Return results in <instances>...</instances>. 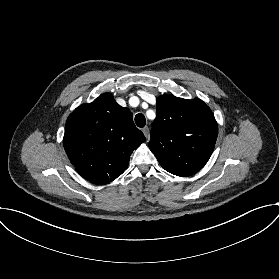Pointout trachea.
<instances>
[{
  "label": "trachea",
  "instance_id": "trachea-1",
  "mask_svg": "<svg viewBox=\"0 0 279 279\" xmlns=\"http://www.w3.org/2000/svg\"><path fill=\"white\" fill-rule=\"evenodd\" d=\"M135 122L138 127H144L146 124V118L143 114L139 113L135 116Z\"/></svg>",
  "mask_w": 279,
  "mask_h": 279
}]
</instances>
